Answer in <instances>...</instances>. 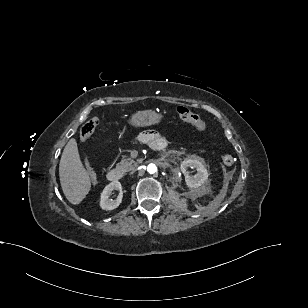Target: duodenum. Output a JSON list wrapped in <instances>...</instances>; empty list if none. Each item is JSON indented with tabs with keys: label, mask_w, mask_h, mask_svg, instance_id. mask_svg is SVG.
I'll return each instance as SVG.
<instances>
[{
	"label": "duodenum",
	"mask_w": 308,
	"mask_h": 308,
	"mask_svg": "<svg viewBox=\"0 0 308 308\" xmlns=\"http://www.w3.org/2000/svg\"><path fill=\"white\" fill-rule=\"evenodd\" d=\"M165 147V142H159L157 144V149H163ZM123 178V173L118 168H112L107 172V179L111 182L120 181Z\"/></svg>",
	"instance_id": "410a0bca"
}]
</instances>
